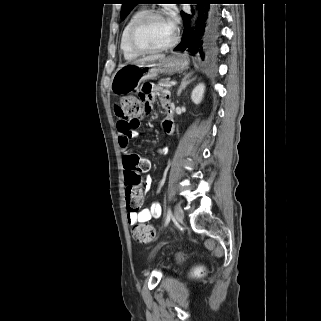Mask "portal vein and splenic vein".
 Segmentation results:
<instances>
[{
	"label": "portal vein and splenic vein",
	"instance_id": "portal-vein-and-splenic-vein-1",
	"mask_svg": "<svg viewBox=\"0 0 321 321\" xmlns=\"http://www.w3.org/2000/svg\"><path fill=\"white\" fill-rule=\"evenodd\" d=\"M170 85H171V86L176 85V81H171V82H170Z\"/></svg>",
	"mask_w": 321,
	"mask_h": 321
}]
</instances>
